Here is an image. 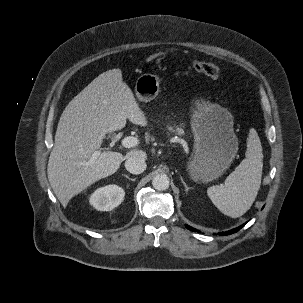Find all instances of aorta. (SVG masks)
Returning a JSON list of instances; mask_svg holds the SVG:
<instances>
[{
  "label": "aorta",
  "mask_w": 303,
  "mask_h": 303,
  "mask_svg": "<svg viewBox=\"0 0 303 303\" xmlns=\"http://www.w3.org/2000/svg\"><path fill=\"white\" fill-rule=\"evenodd\" d=\"M153 187L158 191H164L169 188V178L166 174H158L152 180Z\"/></svg>",
  "instance_id": "obj_1"
}]
</instances>
